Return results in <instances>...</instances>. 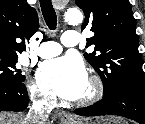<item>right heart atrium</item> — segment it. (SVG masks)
Segmentation results:
<instances>
[{"instance_id": "d8ad5b80", "label": "right heart atrium", "mask_w": 145, "mask_h": 124, "mask_svg": "<svg viewBox=\"0 0 145 124\" xmlns=\"http://www.w3.org/2000/svg\"><path fill=\"white\" fill-rule=\"evenodd\" d=\"M30 93L38 105L44 107H52L55 105L54 95L46 89L42 88L37 83L31 84Z\"/></svg>"}]
</instances>
